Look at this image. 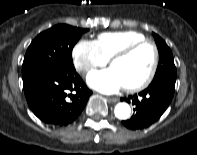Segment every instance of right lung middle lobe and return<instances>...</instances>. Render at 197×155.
<instances>
[{"instance_id": "right-lung-middle-lobe-1", "label": "right lung middle lobe", "mask_w": 197, "mask_h": 155, "mask_svg": "<svg viewBox=\"0 0 197 155\" xmlns=\"http://www.w3.org/2000/svg\"><path fill=\"white\" fill-rule=\"evenodd\" d=\"M87 30L61 24L40 33L24 57L23 85L27 86L47 73L74 70L72 49Z\"/></svg>"}]
</instances>
